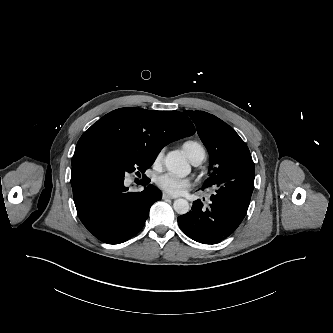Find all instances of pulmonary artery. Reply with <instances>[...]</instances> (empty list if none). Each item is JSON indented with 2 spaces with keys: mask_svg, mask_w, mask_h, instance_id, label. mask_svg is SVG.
<instances>
[{
  "mask_svg": "<svg viewBox=\"0 0 333 333\" xmlns=\"http://www.w3.org/2000/svg\"><path fill=\"white\" fill-rule=\"evenodd\" d=\"M204 158H205V155H201V156H199L198 158H196L192 163H193L194 165H199V164H201V162L204 160Z\"/></svg>",
  "mask_w": 333,
  "mask_h": 333,
  "instance_id": "e3ab8cb5",
  "label": "pulmonary artery"
}]
</instances>
